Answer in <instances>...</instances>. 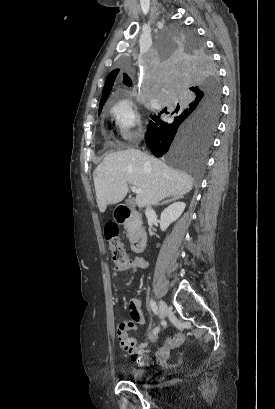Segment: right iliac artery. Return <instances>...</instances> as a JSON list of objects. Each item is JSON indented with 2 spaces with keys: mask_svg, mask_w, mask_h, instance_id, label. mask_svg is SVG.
Here are the masks:
<instances>
[{
  "mask_svg": "<svg viewBox=\"0 0 275 409\" xmlns=\"http://www.w3.org/2000/svg\"><path fill=\"white\" fill-rule=\"evenodd\" d=\"M150 307H151L152 311H153L155 314H158V307H157L156 303H155L153 300L150 301ZM159 330H160V327L158 326V327H156V328L154 329V333H158Z\"/></svg>",
  "mask_w": 275,
  "mask_h": 409,
  "instance_id": "right-iliac-artery-1",
  "label": "right iliac artery"
}]
</instances>
